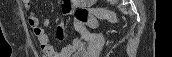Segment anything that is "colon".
I'll return each instance as SVG.
<instances>
[{
  "instance_id": "1",
  "label": "colon",
  "mask_w": 172,
  "mask_h": 57,
  "mask_svg": "<svg viewBox=\"0 0 172 57\" xmlns=\"http://www.w3.org/2000/svg\"><path fill=\"white\" fill-rule=\"evenodd\" d=\"M74 16L76 20L90 28H96L99 19H106L109 21H115V14L104 8H86L77 7L74 10Z\"/></svg>"
}]
</instances>
